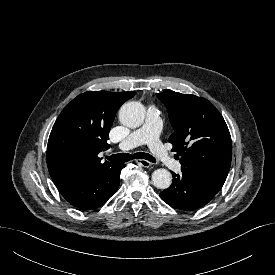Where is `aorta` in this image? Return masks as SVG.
<instances>
[{
  "label": "aorta",
  "mask_w": 275,
  "mask_h": 275,
  "mask_svg": "<svg viewBox=\"0 0 275 275\" xmlns=\"http://www.w3.org/2000/svg\"><path fill=\"white\" fill-rule=\"evenodd\" d=\"M145 118V107L136 101L127 102L119 110L120 122L129 127H139ZM172 182V175L166 169H157L152 173V183L158 189H167Z\"/></svg>",
  "instance_id": "762f6f07"
}]
</instances>
